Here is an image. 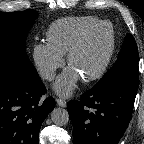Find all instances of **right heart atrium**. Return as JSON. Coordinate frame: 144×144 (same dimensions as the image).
<instances>
[{"label":"right heart atrium","instance_id":"1","mask_svg":"<svg viewBox=\"0 0 144 144\" xmlns=\"http://www.w3.org/2000/svg\"><path fill=\"white\" fill-rule=\"evenodd\" d=\"M32 59L42 78L51 81L64 65V57L48 43H37L32 49Z\"/></svg>","mask_w":144,"mask_h":144}]
</instances>
